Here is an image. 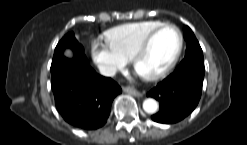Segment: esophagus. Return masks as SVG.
<instances>
[{"label": "esophagus", "mask_w": 247, "mask_h": 145, "mask_svg": "<svg viewBox=\"0 0 247 145\" xmlns=\"http://www.w3.org/2000/svg\"><path fill=\"white\" fill-rule=\"evenodd\" d=\"M123 91L128 93V94H131L133 96H136V97H141L142 96V93L138 92L135 88L133 87H123Z\"/></svg>", "instance_id": "obj_1"}]
</instances>
